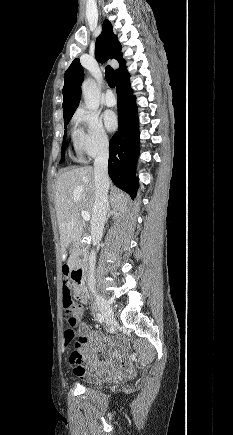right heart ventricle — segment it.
Instances as JSON below:
<instances>
[{"label":"right heart ventricle","mask_w":233,"mask_h":435,"mask_svg":"<svg viewBox=\"0 0 233 435\" xmlns=\"http://www.w3.org/2000/svg\"><path fill=\"white\" fill-rule=\"evenodd\" d=\"M72 137L76 146H78L81 139V132L78 129H74L72 132Z\"/></svg>","instance_id":"right-heart-ventricle-1"}]
</instances>
